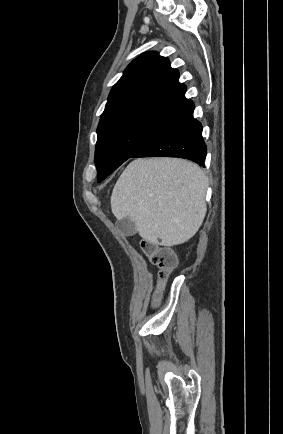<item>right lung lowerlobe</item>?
Listing matches in <instances>:
<instances>
[{
    "label": "right lung lower lobe",
    "instance_id": "98d812e1",
    "mask_svg": "<svg viewBox=\"0 0 283 434\" xmlns=\"http://www.w3.org/2000/svg\"><path fill=\"white\" fill-rule=\"evenodd\" d=\"M193 110L173 120L131 158L179 157L190 159L202 166L206 158L207 147L202 137V125L194 119Z\"/></svg>",
    "mask_w": 283,
    "mask_h": 434
}]
</instances>
